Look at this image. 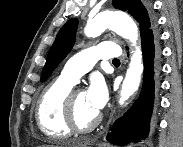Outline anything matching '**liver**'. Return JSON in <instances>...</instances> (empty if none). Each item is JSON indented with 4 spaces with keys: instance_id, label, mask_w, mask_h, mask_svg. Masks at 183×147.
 Masks as SVG:
<instances>
[{
    "instance_id": "1",
    "label": "liver",
    "mask_w": 183,
    "mask_h": 147,
    "mask_svg": "<svg viewBox=\"0 0 183 147\" xmlns=\"http://www.w3.org/2000/svg\"><path fill=\"white\" fill-rule=\"evenodd\" d=\"M87 144L82 141H66L62 142L59 147H85ZM42 147H54V146H42ZM58 147V146H57Z\"/></svg>"
}]
</instances>
